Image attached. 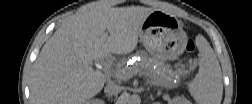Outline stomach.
Returning <instances> with one entry per match:
<instances>
[{
  "mask_svg": "<svg viewBox=\"0 0 252 104\" xmlns=\"http://www.w3.org/2000/svg\"><path fill=\"white\" fill-rule=\"evenodd\" d=\"M149 54L164 60H174L185 50L187 42L183 24L172 14L155 10L145 19L139 34Z\"/></svg>",
  "mask_w": 252,
  "mask_h": 104,
  "instance_id": "0dacf381",
  "label": "stomach"
}]
</instances>
